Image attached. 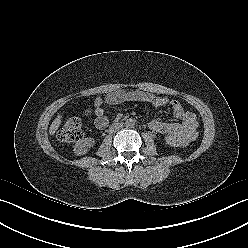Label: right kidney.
Here are the masks:
<instances>
[{"label":"right kidney","mask_w":248,"mask_h":248,"mask_svg":"<svg viewBox=\"0 0 248 248\" xmlns=\"http://www.w3.org/2000/svg\"><path fill=\"white\" fill-rule=\"evenodd\" d=\"M94 144L95 140L93 138H84L75 144L73 151L76 155H84L90 150L91 147H93Z\"/></svg>","instance_id":"ca27d5eb"}]
</instances>
